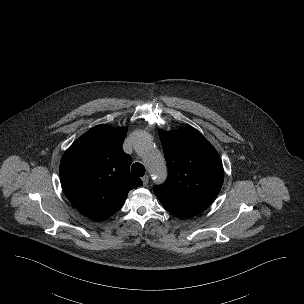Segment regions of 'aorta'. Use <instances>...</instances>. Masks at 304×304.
<instances>
[{"instance_id":"aorta-1","label":"aorta","mask_w":304,"mask_h":304,"mask_svg":"<svg viewBox=\"0 0 304 304\" xmlns=\"http://www.w3.org/2000/svg\"><path fill=\"white\" fill-rule=\"evenodd\" d=\"M135 148L146 156L147 168L156 183L166 178V165L163 156L155 149L151 140L143 137L137 141Z\"/></svg>"}]
</instances>
